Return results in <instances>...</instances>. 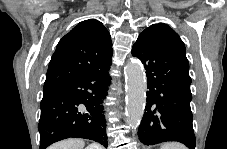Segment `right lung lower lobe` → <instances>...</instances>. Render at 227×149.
<instances>
[{
    "label": "right lung lower lobe",
    "instance_id": "1",
    "mask_svg": "<svg viewBox=\"0 0 227 149\" xmlns=\"http://www.w3.org/2000/svg\"><path fill=\"white\" fill-rule=\"evenodd\" d=\"M111 61L43 93L38 124L40 149L70 137L94 140L107 147L103 100L110 83Z\"/></svg>",
    "mask_w": 227,
    "mask_h": 149
}]
</instances>
